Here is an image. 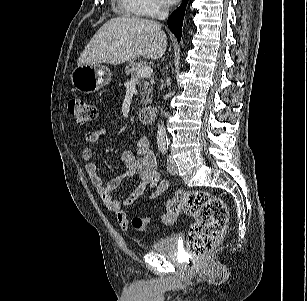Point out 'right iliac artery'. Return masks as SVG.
I'll return each instance as SVG.
<instances>
[{
	"mask_svg": "<svg viewBox=\"0 0 307 301\" xmlns=\"http://www.w3.org/2000/svg\"><path fill=\"white\" fill-rule=\"evenodd\" d=\"M160 151H161L162 155H165V153L167 152V147H161Z\"/></svg>",
	"mask_w": 307,
	"mask_h": 301,
	"instance_id": "1",
	"label": "right iliac artery"
}]
</instances>
